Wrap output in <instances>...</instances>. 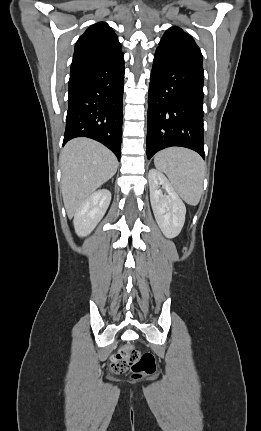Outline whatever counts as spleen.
<instances>
[{
  "label": "spleen",
  "mask_w": 261,
  "mask_h": 431,
  "mask_svg": "<svg viewBox=\"0 0 261 431\" xmlns=\"http://www.w3.org/2000/svg\"><path fill=\"white\" fill-rule=\"evenodd\" d=\"M154 164L168 176L172 187L187 204L199 203L205 164L197 153L183 148L165 149L155 155Z\"/></svg>",
  "instance_id": "1"
}]
</instances>
